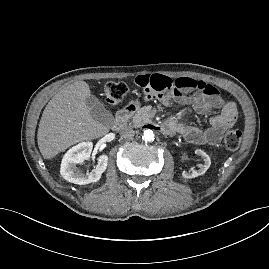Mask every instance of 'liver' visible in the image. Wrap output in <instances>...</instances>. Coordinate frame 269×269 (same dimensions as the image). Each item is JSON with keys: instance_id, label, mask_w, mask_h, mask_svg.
Here are the masks:
<instances>
[{"instance_id": "1", "label": "liver", "mask_w": 269, "mask_h": 269, "mask_svg": "<svg viewBox=\"0 0 269 269\" xmlns=\"http://www.w3.org/2000/svg\"><path fill=\"white\" fill-rule=\"evenodd\" d=\"M89 85L76 81L62 88L46 105L38 128L37 142L44 159H51L70 146L93 140L109 132L93 119L86 99Z\"/></svg>"}]
</instances>
